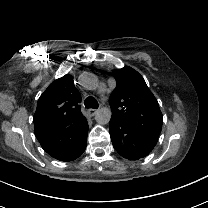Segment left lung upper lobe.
Listing matches in <instances>:
<instances>
[{
    "label": "left lung upper lobe",
    "instance_id": "1",
    "mask_svg": "<svg viewBox=\"0 0 208 208\" xmlns=\"http://www.w3.org/2000/svg\"><path fill=\"white\" fill-rule=\"evenodd\" d=\"M117 86L109 98L112 115L129 123L156 145L163 116L143 77L133 68L113 71Z\"/></svg>",
    "mask_w": 208,
    "mask_h": 208
}]
</instances>
